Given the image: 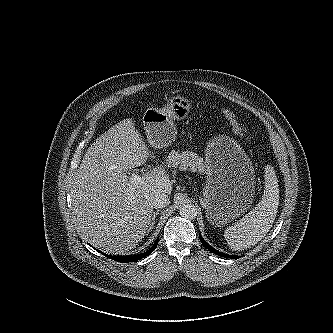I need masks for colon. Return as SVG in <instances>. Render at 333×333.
<instances>
[{"label":"colon","mask_w":333,"mask_h":333,"mask_svg":"<svg viewBox=\"0 0 333 333\" xmlns=\"http://www.w3.org/2000/svg\"><path fill=\"white\" fill-rule=\"evenodd\" d=\"M224 114L229 120L234 132L243 140L249 138L248 129L244 122L231 110L225 109Z\"/></svg>","instance_id":"colon-1"}]
</instances>
